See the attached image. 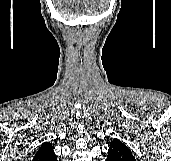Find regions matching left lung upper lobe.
Wrapping results in <instances>:
<instances>
[{
	"mask_svg": "<svg viewBox=\"0 0 171 161\" xmlns=\"http://www.w3.org/2000/svg\"><path fill=\"white\" fill-rule=\"evenodd\" d=\"M107 161H135L131 150L118 139L110 142Z\"/></svg>",
	"mask_w": 171,
	"mask_h": 161,
	"instance_id": "1",
	"label": "left lung upper lobe"
}]
</instances>
